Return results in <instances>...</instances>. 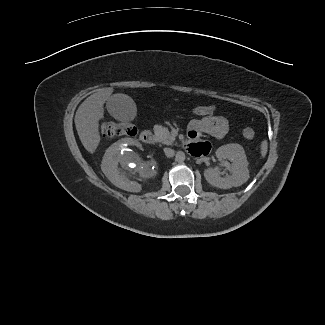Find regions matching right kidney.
I'll list each match as a JSON object with an SVG mask.
<instances>
[{
  "instance_id": "right-kidney-1",
  "label": "right kidney",
  "mask_w": 325,
  "mask_h": 325,
  "mask_svg": "<svg viewBox=\"0 0 325 325\" xmlns=\"http://www.w3.org/2000/svg\"><path fill=\"white\" fill-rule=\"evenodd\" d=\"M154 166L152 160L144 158L142 145L131 138L112 144L101 163L102 172L110 182L129 192L141 191L142 186H146L156 176Z\"/></svg>"
}]
</instances>
